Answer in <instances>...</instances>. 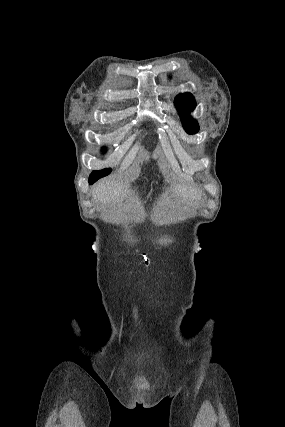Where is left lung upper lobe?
I'll return each instance as SVG.
<instances>
[{
    "label": "left lung upper lobe",
    "instance_id": "5c2ea615",
    "mask_svg": "<svg viewBox=\"0 0 285 427\" xmlns=\"http://www.w3.org/2000/svg\"><path fill=\"white\" fill-rule=\"evenodd\" d=\"M174 104L179 111L185 131L189 134L197 133L199 125L197 121L190 116V112L196 107L193 95L190 93L179 94L175 97Z\"/></svg>",
    "mask_w": 285,
    "mask_h": 427
}]
</instances>
